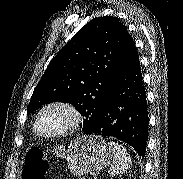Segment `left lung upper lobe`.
Instances as JSON below:
<instances>
[{
    "label": "left lung upper lobe",
    "instance_id": "5c2ea615",
    "mask_svg": "<svg viewBox=\"0 0 183 179\" xmlns=\"http://www.w3.org/2000/svg\"><path fill=\"white\" fill-rule=\"evenodd\" d=\"M128 35L116 17L103 16L88 22L49 63L27 114L47 103H71L85 117L81 127L87 134L109 97Z\"/></svg>",
    "mask_w": 183,
    "mask_h": 179
}]
</instances>
